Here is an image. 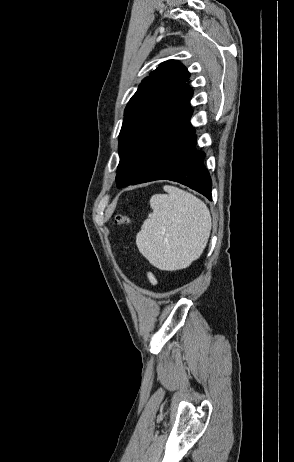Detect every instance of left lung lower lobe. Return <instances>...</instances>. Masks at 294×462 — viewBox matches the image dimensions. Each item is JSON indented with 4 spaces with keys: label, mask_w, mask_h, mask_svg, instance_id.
<instances>
[{
    "label": "left lung lower lobe",
    "mask_w": 294,
    "mask_h": 462,
    "mask_svg": "<svg viewBox=\"0 0 294 462\" xmlns=\"http://www.w3.org/2000/svg\"><path fill=\"white\" fill-rule=\"evenodd\" d=\"M188 87L180 99L156 106L147 117L116 176L117 187L166 179L179 182L212 200V182L203 165L205 154L195 150L189 122Z\"/></svg>",
    "instance_id": "1"
}]
</instances>
